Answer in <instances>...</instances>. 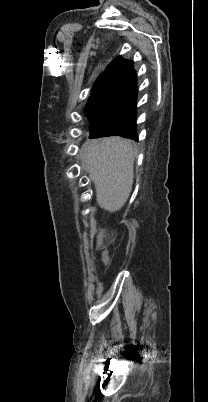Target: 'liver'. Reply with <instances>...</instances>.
<instances>
[{"label":"liver","mask_w":208,"mask_h":402,"mask_svg":"<svg viewBox=\"0 0 208 402\" xmlns=\"http://www.w3.org/2000/svg\"><path fill=\"white\" fill-rule=\"evenodd\" d=\"M81 164L95 186L98 206L117 212L126 204L132 190L134 144L123 138L88 140L83 146Z\"/></svg>","instance_id":"6515ba94"}]
</instances>
